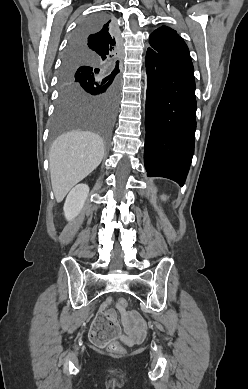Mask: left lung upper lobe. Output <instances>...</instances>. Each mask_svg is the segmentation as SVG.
Returning a JSON list of instances; mask_svg holds the SVG:
<instances>
[{
	"instance_id": "obj_1",
	"label": "left lung upper lobe",
	"mask_w": 248,
	"mask_h": 389,
	"mask_svg": "<svg viewBox=\"0 0 248 389\" xmlns=\"http://www.w3.org/2000/svg\"><path fill=\"white\" fill-rule=\"evenodd\" d=\"M149 43L152 49L159 52L188 50L186 43L177 32L166 26H162L151 33Z\"/></svg>"
}]
</instances>
